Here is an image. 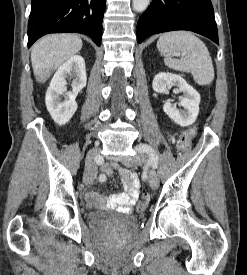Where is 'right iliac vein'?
<instances>
[{
    "instance_id": "right-iliac-vein-1",
    "label": "right iliac vein",
    "mask_w": 247,
    "mask_h": 275,
    "mask_svg": "<svg viewBox=\"0 0 247 275\" xmlns=\"http://www.w3.org/2000/svg\"><path fill=\"white\" fill-rule=\"evenodd\" d=\"M99 154L98 149L91 150L86 157L85 171L83 175V182L88 183L95 179L96 177V166H95V156Z\"/></svg>"
}]
</instances>
